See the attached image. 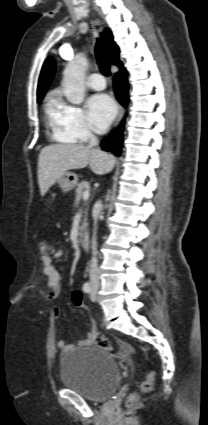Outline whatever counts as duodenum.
<instances>
[{
	"label": "duodenum",
	"instance_id": "410a0bca",
	"mask_svg": "<svg viewBox=\"0 0 208 425\" xmlns=\"http://www.w3.org/2000/svg\"><path fill=\"white\" fill-rule=\"evenodd\" d=\"M80 245L87 250L89 248V239L88 234H82L80 237Z\"/></svg>",
	"mask_w": 208,
	"mask_h": 425
}]
</instances>
